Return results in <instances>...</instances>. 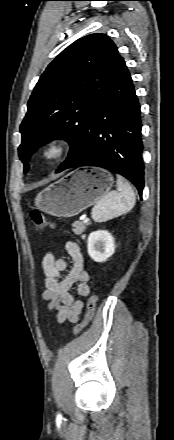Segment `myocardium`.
Instances as JSON below:
<instances>
[{
    "instance_id": "1",
    "label": "myocardium",
    "mask_w": 174,
    "mask_h": 440,
    "mask_svg": "<svg viewBox=\"0 0 174 440\" xmlns=\"http://www.w3.org/2000/svg\"><path fill=\"white\" fill-rule=\"evenodd\" d=\"M71 148L70 141L63 137L57 136L49 139L44 144L41 155L47 163H56L65 157Z\"/></svg>"
}]
</instances>
